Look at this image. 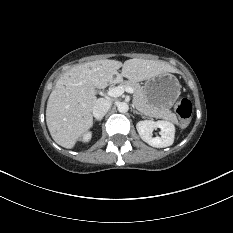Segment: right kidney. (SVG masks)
<instances>
[{
    "mask_svg": "<svg viewBox=\"0 0 233 233\" xmlns=\"http://www.w3.org/2000/svg\"><path fill=\"white\" fill-rule=\"evenodd\" d=\"M91 137H92L91 132H87V133H85V134L83 135L82 141H83V142H88V141L91 140Z\"/></svg>",
    "mask_w": 233,
    "mask_h": 233,
    "instance_id": "ca27d5eb",
    "label": "right kidney"
}]
</instances>
